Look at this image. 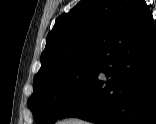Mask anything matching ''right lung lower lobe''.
<instances>
[{"instance_id": "1", "label": "right lung lower lobe", "mask_w": 156, "mask_h": 124, "mask_svg": "<svg viewBox=\"0 0 156 124\" xmlns=\"http://www.w3.org/2000/svg\"><path fill=\"white\" fill-rule=\"evenodd\" d=\"M98 124H156V30L130 32L108 48L95 75L59 119Z\"/></svg>"}]
</instances>
